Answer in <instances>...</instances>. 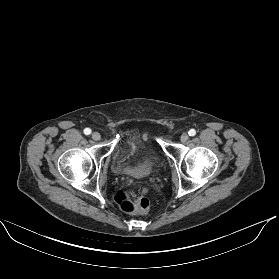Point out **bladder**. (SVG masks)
I'll use <instances>...</instances> for the list:
<instances>
[{
	"label": "bladder",
	"instance_id": "obj_1",
	"mask_svg": "<svg viewBox=\"0 0 279 279\" xmlns=\"http://www.w3.org/2000/svg\"><path fill=\"white\" fill-rule=\"evenodd\" d=\"M133 144L134 141L130 139L127 143H123L120 146H118L112 153V159L114 163L123 162L125 160L126 155L128 154L130 145ZM152 165L153 162L145 160L137 164L136 166L125 168L122 172L127 176H143L151 172ZM154 165L159 167L160 162L156 159L154 161Z\"/></svg>",
	"mask_w": 279,
	"mask_h": 279
}]
</instances>
